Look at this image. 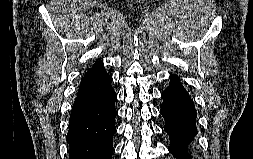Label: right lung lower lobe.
Returning a JSON list of instances; mask_svg holds the SVG:
<instances>
[{
  "label": "right lung lower lobe",
  "mask_w": 253,
  "mask_h": 159,
  "mask_svg": "<svg viewBox=\"0 0 253 159\" xmlns=\"http://www.w3.org/2000/svg\"><path fill=\"white\" fill-rule=\"evenodd\" d=\"M103 66L82 78L66 140L69 159H112L117 95Z\"/></svg>",
  "instance_id": "obj_1"
}]
</instances>
